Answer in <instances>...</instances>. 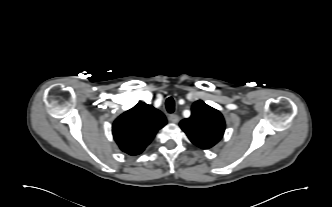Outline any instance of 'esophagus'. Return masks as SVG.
Returning a JSON list of instances; mask_svg holds the SVG:
<instances>
[{
    "label": "esophagus",
    "mask_w": 332,
    "mask_h": 207,
    "mask_svg": "<svg viewBox=\"0 0 332 207\" xmlns=\"http://www.w3.org/2000/svg\"><path fill=\"white\" fill-rule=\"evenodd\" d=\"M168 119L172 123H177L179 121V116L176 114H171L169 115Z\"/></svg>",
    "instance_id": "obj_1"
}]
</instances>
